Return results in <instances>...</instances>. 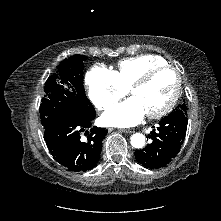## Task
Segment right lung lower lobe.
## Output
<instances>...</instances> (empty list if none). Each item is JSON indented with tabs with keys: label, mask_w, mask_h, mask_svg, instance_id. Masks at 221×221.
<instances>
[{
	"label": "right lung lower lobe",
	"mask_w": 221,
	"mask_h": 221,
	"mask_svg": "<svg viewBox=\"0 0 221 221\" xmlns=\"http://www.w3.org/2000/svg\"><path fill=\"white\" fill-rule=\"evenodd\" d=\"M95 110L82 114H69L54 121L44 129V139L53 156L71 171L85 172L91 170L98 162L102 150V141L107 135L105 128L92 125ZM85 131L87 139H81Z\"/></svg>",
	"instance_id": "right-lung-lower-lobe-1"
}]
</instances>
